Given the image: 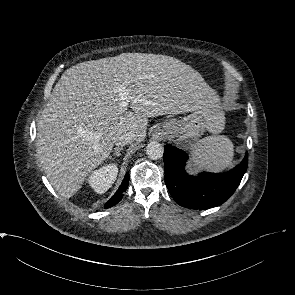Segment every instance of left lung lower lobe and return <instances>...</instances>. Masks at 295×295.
I'll list each match as a JSON object with an SVG mask.
<instances>
[{
  "mask_svg": "<svg viewBox=\"0 0 295 295\" xmlns=\"http://www.w3.org/2000/svg\"><path fill=\"white\" fill-rule=\"evenodd\" d=\"M163 159L169 193L179 205L191 209H208L223 204L239 186L248 164L246 153L242 162L229 172H203L193 177L184 170L188 159L184 151L165 145Z\"/></svg>",
  "mask_w": 295,
  "mask_h": 295,
  "instance_id": "left-lung-lower-lobe-1",
  "label": "left lung lower lobe"
}]
</instances>
